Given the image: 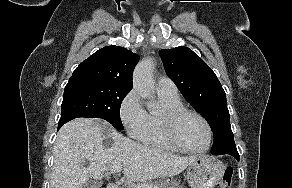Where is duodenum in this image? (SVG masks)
<instances>
[{
  "instance_id": "duodenum-1",
  "label": "duodenum",
  "mask_w": 292,
  "mask_h": 188,
  "mask_svg": "<svg viewBox=\"0 0 292 188\" xmlns=\"http://www.w3.org/2000/svg\"><path fill=\"white\" fill-rule=\"evenodd\" d=\"M107 188H121V187H119L118 185H115V184H110L107 186Z\"/></svg>"
}]
</instances>
